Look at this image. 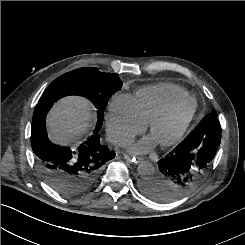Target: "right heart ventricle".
<instances>
[{"instance_id": "obj_1", "label": "right heart ventricle", "mask_w": 245, "mask_h": 245, "mask_svg": "<svg viewBox=\"0 0 245 245\" xmlns=\"http://www.w3.org/2000/svg\"><path fill=\"white\" fill-rule=\"evenodd\" d=\"M184 88L170 83L149 85L136 91L133 99L141 119L148 123L171 104L189 97Z\"/></svg>"}]
</instances>
